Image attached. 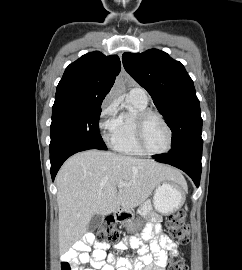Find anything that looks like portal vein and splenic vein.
Returning <instances> with one entry per match:
<instances>
[{
    "label": "portal vein and splenic vein",
    "mask_w": 242,
    "mask_h": 270,
    "mask_svg": "<svg viewBox=\"0 0 242 270\" xmlns=\"http://www.w3.org/2000/svg\"><path fill=\"white\" fill-rule=\"evenodd\" d=\"M126 185L127 184H125L124 182H119L118 185H117V187L120 189V188H122V187H124Z\"/></svg>",
    "instance_id": "portal-vein-and-splenic-vein-1"
}]
</instances>
